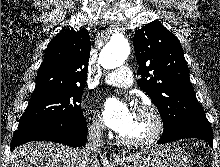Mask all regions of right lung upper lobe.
I'll return each mask as SVG.
<instances>
[{"mask_svg": "<svg viewBox=\"0 0 220 167\" xmlns=\"http://www.w3.org/2000/svg\"><path fill=\"white\" fill-rule=\"evenodd\" d=\"M90 47L89 32L86 29L60 31L47 46L31 98L69 87L84 86Z\"/></svg>", "mask_w": 220, "mask_h": 167, "instance_id": "cb5924a9", "label": "right lung upper lobe"}]
</instances>
